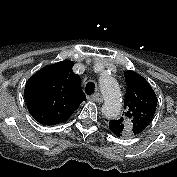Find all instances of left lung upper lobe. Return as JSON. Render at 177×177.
Wrapping results in <instances>:
<instances>
[{"label":"left lung upper lobe","instance_id":"5c2ea615","mask_svg":"<svg viewBox=\"0 0 177 177\" xmlns=\"http://www.w3.org/2000/svg\"><path fill=\"white\" fill-rule=\"evenodd\" d=\"M126 94L124 116L109 122V127L117 130L119 136L133 137L140 135L154 117L157 97L150 84L139 74L126 71Z\"/></svg>","mask_w":177,"mask_h":177}]
</instances>
